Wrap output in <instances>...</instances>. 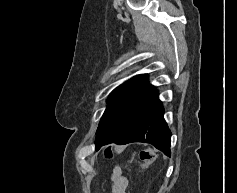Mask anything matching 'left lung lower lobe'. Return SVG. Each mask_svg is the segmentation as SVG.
I'll return each mask as SVG.
<instances>
[{"instance_id": "0a47b994", "label": "left lung lower lobe", "mask_w": 237, "mask_h": 193, "mask_svg": "<svg viewBox=\"0 0 237 193\" xmlns=\"http://www.w3.org/2000/svg\"><path fill=\"white\" fill-rule=\"evenodd\" d=\"M164 109L157 90L151 86L134 109L116 144L143 142L171 156V132L163 118ZM96 150H99L96 147Z\"/></svg>"}]
</instances>
